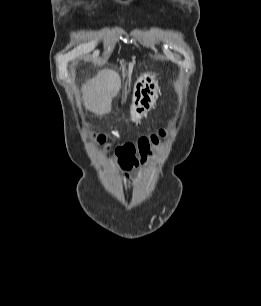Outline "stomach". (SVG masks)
Returning a JSON list of instances; mask_svg holds the SVG:
<instances>
[{"label": "stomach", "instance_id": "0dacf381", "mask_svg": "<svg viewBox=\"0 0 261 306\" xmlns=\"http://www.w3.org/2000/svg\"><path fill=\"white\" fill-rule=\"evenodd\" d=\"M158 84L150 77V82L146 80L140 83L138 90L134 89L133 103L130 109V115L133 122H139L143 115H145L155 104Z\"/></svg>", "mask_w": 261, "mask_h": 306}]
</instances>
